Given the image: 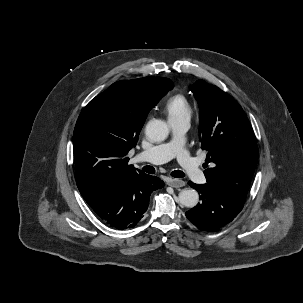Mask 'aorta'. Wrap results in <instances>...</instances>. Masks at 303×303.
Masks as SVG:
<instances>
[{
    "instance_id": "aorta-1",
    "label": "aorta",
    "mask_w": 303,
    "mask_h": 303,
    "mask_svg": "<svg viewBox=\"0 0 303 303\" xmlns=\"http://www.w3.org/2000/svg\"><path fill=\"white\" fill-rule=\"evenodd\" d=\"M145 133L150 141L161 142L167 138L169 128L164 121L153 119L147 123ZM198 200L199 195L195 189H183L178 196L179 203L188 208L195 207Z\"/></svg>"
}]
</instances>
